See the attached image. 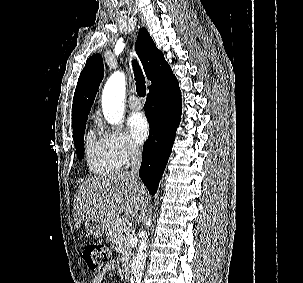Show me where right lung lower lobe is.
Returning a JSON list of instances; mask_svg holds the SVG:
<instances>
[{
	"instance_id": "98d812e1",
	"label": "right lung lower lobe",
	"mask_w": 303,
	"mask_h": 283,
	"mask_svg": "<svg viewBox=\"0 0 303 283\" xmlns=\"http://www.w3.org/2000/svg\"><path fill=\"white\" fill-rule=\"evenodd\" d=\"M150 133L143 146L139 176L153 195L166 167L181 116V91L174 77L150 90L144 106Z\"/></svg>"
}]
</instances>
